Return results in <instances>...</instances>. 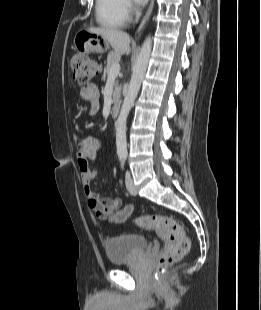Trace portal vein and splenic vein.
Wrapping results in <instances>:
<instances>
[{
	"label": "portal vein and splenic vein",
	"mask_w": 261,
	"mask_h": 310,
	"mask_svg": "<svg viewBox=\"0 0 261 310\" xmlns=\"http://www.w3.org/2000/svg\"><path fill=\"white\" fill-rule=\"evenodd\" d=\"M119 71H120L119 63L112 65L109 70L108 77H116L119 74Z\"/></svg>",
	"instance_id": "portal-vein-and-splenic-vein-1"
}]
</instances>
